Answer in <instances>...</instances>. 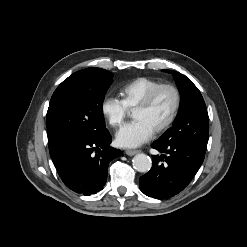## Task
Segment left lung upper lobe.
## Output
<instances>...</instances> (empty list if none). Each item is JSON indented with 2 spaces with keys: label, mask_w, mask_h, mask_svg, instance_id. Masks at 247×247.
<instances>
[{
  "label": "left lung upper lobe",
  "mask_w": 247,
  "mask_h": 247,
  "mask_svg": "<svg viewBox=\"0 0 247 247\" xmlns=\"http://www.w3.org/2000/svg\"><path fill=\"white\" fill-rule=\"evenodd\" d=\"M163 71L174 75L181 94V103L173 126L158 141L189 140L196 145L207 147L209 117L200 91L183 74L172 70Z\"/></svg>",
  "instance_id": "obj_1"
}]
</instances>
